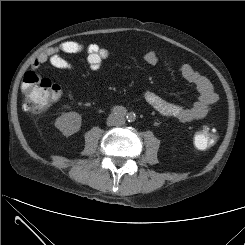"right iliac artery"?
<instances>
[{
  "instance_id": "1",
  "label": "right iliac artery",
  "mask_w": 245,
  "mask_h": 245,
  "mask_svg": "<svg viewBox=\"0 0 245 245\" xmlns=\"http://www.w3.org/2000/svg\"><path fill=\"white\" fill-rule=\"evenodd\" d=\"M111 112L116 115L125 116L127 114V110L122 106H116L111 109Z\"/></svg>"
}]
</instances>
